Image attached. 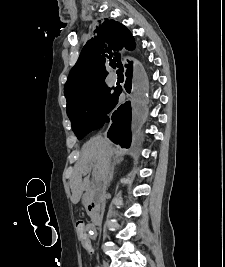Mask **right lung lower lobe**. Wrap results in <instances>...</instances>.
I'll list each match as a JSON object with an SVG mask.
<instances>
[{
	"instance_id": "98d812e1",
	"label": "right lung lower lobe",
	"mask_w": 225,
	"mask_h": 267,
	"mask_svg": "<svg viewBox=\"0 0 225 267\" xmlns=\"http://www.w3.org/2000/svg\"><path fill=\"white\" fill-rule=\"evenodd\" d=\"M125 71L127 80L124 87L126 91L130 93L132 89L131 80L133 75V67L131 63L125 64ZM116 88H117V98L112 105V110L117 105L119 95L122 93L121 87H116ZM133 90L136 93H138L141 96V98H143L142 83L135 76L133 78ZM130 120H131V106L130 103L127 105L125 103L120 107H118V109L114 111L111 117L107 116L106 120L103 123L104 125L109 121L113 122L108 131V138H110L116 144H120L122 147H129L131 143Z\"/></svg>"
}]
</instances>
